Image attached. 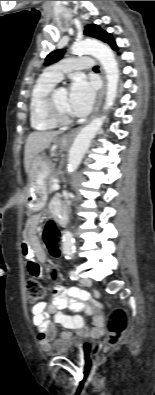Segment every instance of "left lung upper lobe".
<instances>
[{"mask_svg": "<svg viewBox=\"0 0 155 395\" xmlns=\"http://www.w3.org/2000/svg\"><path fill=\"white\" fill-rule=\"evenodd\" d=\"M84 34L96 39H99L103 42L108 43L114 50L117 49L116 43L112 38L111 34L103 31L98 25L90 24L85 27ZM64 50H56L51 52L45 59V65H49L51 63H55L60 60L64 54Z\"/></svg>", "mask_w": 155, "mask_h": 395, "instance_id": "obj_1", "label": "left lung upper lobe"}]
</instances>
